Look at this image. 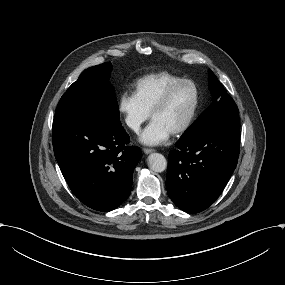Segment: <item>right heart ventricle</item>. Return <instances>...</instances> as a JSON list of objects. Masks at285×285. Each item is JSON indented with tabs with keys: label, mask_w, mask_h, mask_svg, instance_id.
Segmentation results:
<instances>
[{
	"label": "right heart ventricle",
	"mask_w": 285,
	"mask_h": 285,
	"mask_svg": "<svg viewBox=\"0 0 285 285\" xmlns=\"http://www.w3.org/2000/svg\"><path fill=\"white\" fill-rule=\"evenodd\" d=\"M182 77L167 72L159 71L140 78L135 84V92L143 106L151 112L164 91Z\"/></svg>",
	"instance_id": "e07e8e85"
}]
</instances>
